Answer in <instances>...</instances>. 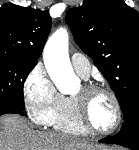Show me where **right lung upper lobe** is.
I'll list each match as a JSON object with an SVG mask.
<instances>
[{"instance_id":"cb5924a9","label":"right lung upper lobe","mask_w":139,"mask_h":150,"mask_svg":"<svg viewBox=\"0 0 139 150\" xmlns=\"http://www.w3.org/2000/svg\"><path fill=\"white\" fill-rule=\"evenodd\" d=\"M51 25L47 10L4 4L0 7V55L37 63Z\"/></svg>"}]
</instances>
